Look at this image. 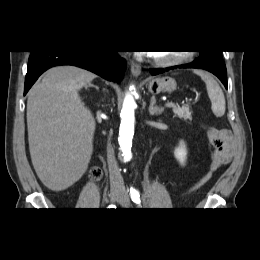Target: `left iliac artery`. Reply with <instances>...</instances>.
Listing matches in <instances>:
<instances>
[{
	"mask_svg": "<svg viewBox=\"0 0 260 260\" xmlns=\"http://www.w3.org/2000/svg\"><path fill=\"white\" fill-rule=\"evenodd\" d=\"M130 196L133 202L140 203V193L135 188H131Z\"/></svg>",
	"mask_w": 260,
	"mask_h": 260,
	"instance_id": "1",
	"label": "left iliac artery"
}]
</instances>
